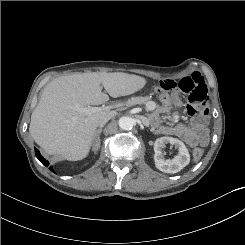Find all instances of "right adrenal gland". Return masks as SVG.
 <instances>
[{"label":"right adrenal gland","instance_id":"1","mask_svg":"<svg viewBox=\"0 0 245 245\" xmlns=\"http://www.w3.org/2000/svg\"><path fill=\"white\" fill-rule=\"evenodd\" d=\"M102 132V127H100L99 129L96 130L95 136H94V141H93V149L94 150H98L99 146H100V134Z\"/></svg>","mask_w":245,"mask_h":245}]
</instances>
